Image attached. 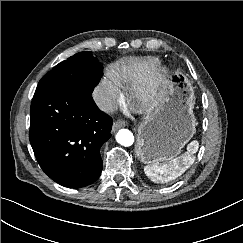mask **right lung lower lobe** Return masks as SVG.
<instances>
[{
  "mask_svg": "<svg viewBox=\"0 0 243 243\" xmlns=\"http://www.w3.org/2000/svg\"><path fill=\"white\" fill-rule=\"evenodd\" d=\"M90 85L38 86L31 103L29 139L42 170L58 184L80 188L102 172L100 148L112 119L99 110Z\"/></svg>",
  "mask_w": 243,
  "mask_h": 243,
  "instance_id": "obj_1",
  "label": "right lung lower lobe"
}]
</instances>
